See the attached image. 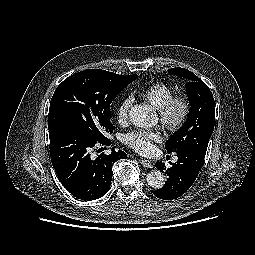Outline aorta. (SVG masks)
<instances>
[{"label":"aorta","instance_id":"762f6f07","mask_svg":"<svg viewBox=\"0 0 255 255\" xmlns=\"http://www.w3.org/2000/svg\"><path fill=\"white\" fill-rule=\"evenodd\" d=\"M130 121L141 128H151L156 123V115L147 105H135L129 111ZM147 183L153 189H161L165 184V176L159 170H152L147 174Z\"/></svg>","mask_w":255,"mask_h":255}]
</instances>
